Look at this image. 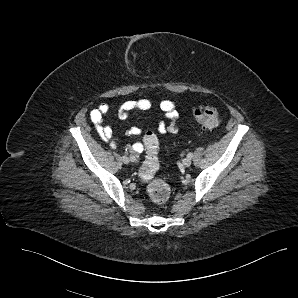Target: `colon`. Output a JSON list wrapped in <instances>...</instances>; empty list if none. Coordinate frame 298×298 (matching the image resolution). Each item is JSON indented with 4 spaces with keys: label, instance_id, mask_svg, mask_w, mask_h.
Instances as JSON below:
<instances>
[{
    "label": "colon",
    "instance_id": "colon-1",
    "mask_svg": "<svg viewBox=\"0 0 298 298\" xmlns=\"http://www.w3.org/2000/svg\"><path fill=\"white\" fill-rule=\"evenodd\" d=\"M193 115L203 128L209 130L216 128L220 121L218 109L211 104L195 108ZM143 145L146 156L139 168V177L146 183L147 194L150 199L156 204H164L170 198V188L166 182L155 178L159 169V140L157 135L153 132H147L143 138Z\"/></svg>",
    "mask_w": 298,
    "mask_h": 298
}]
</instances>
